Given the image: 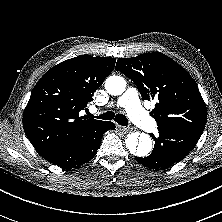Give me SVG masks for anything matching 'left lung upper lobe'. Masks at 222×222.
Returning <instances> with one entry per match:
<instances>
[{
    "label": "left lung upper lobe",
    "instance_id": "5c2ea615",
    "mask_svg": "<svg viewBox=\"0 0 222 222\" xmlns=\"http://www.w3.org/2000/svg\"><path fill=\"white\" fill-rule=\"evenodd\" d=\"M116 70L129 77L144 100L157 102L151 112L158 126L203 132L207 109L195 80L177 62L160 52L118 59Z\"/></svg>",
    "mask_w": 222,
    "mask_h": 222
}]
</instances>
